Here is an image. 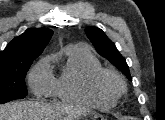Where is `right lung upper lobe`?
I'll list each match as a JSON object with an SVG mask.
<instances>
[{
  "mask_svg": "<svg viewBox=\"0 0 165 120\" xmlns=\"http://www.w3.org/2000/svg\"><path fill=\"white\" fill-rule=\"evenodd\" d=\"M53 31L48 28H29L14 38L0 51V62H16L36 59L48 44Z\"/></svg>",
  "mask_w": 165,
  "mask_h": 120,
  "instance_id": "obj_1",
  "label": "right lung upper lobe"
}]
</instances>
